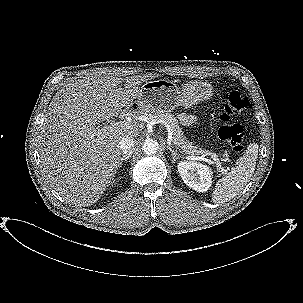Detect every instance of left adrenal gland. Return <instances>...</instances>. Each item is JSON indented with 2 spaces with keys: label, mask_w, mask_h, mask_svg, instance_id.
I'll return each mask as SVG.
<instances>
[{
  "label": "left adrenal gland",
  "mask_w": 303,
  "mask_h": 303,
  "mask_svg": "<svg viewBox=\"0 0 303 303\" xmlns=\"http://www.w3.org/2000/svg\"><path fill=\"white\" fill-rule=\"evenodd\" d=\"M167 149H169L170 150V152H171V155H172V157H173V161H176L177 159H178V154H177V152L176 151H174L172 148H170L169 146H167Z\"/></svg>",
  "instance_id": "a2214340"
}]
</instances>
